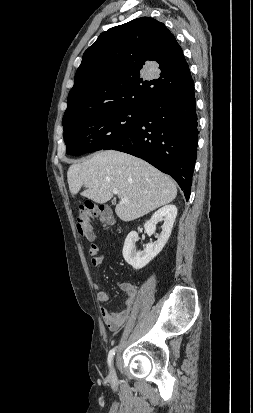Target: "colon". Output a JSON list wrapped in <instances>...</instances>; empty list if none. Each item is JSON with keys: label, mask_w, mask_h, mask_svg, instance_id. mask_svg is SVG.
<instances>
[{"label": "colon", "mask_w": 253, "mask_h": 413, "mask_svg": "<svg viewBox=\"0 0 253 413\" xmlns=\"http://www.w3.org/2000/svg\"><path fill=\"white\" fill-rule=\"evenodd\" d=\"M95 218H99L104 226L113 223L111 213L105 205H96L90 202L80 206L77 216V231L90 242L94 240L92 221Z\"/></svg>", "instance_id": "1"}]
</instances>
